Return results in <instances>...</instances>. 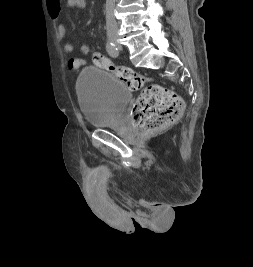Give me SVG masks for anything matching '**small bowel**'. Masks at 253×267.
I'll return each instance as SVG.
<instances>
[{"mask_svg":"<svg viewBox=\"0 0 253 267\" xmlns=\"http://www.w3.org/2000/svg\"><path fill=\"white\" fill-rule=\"evenodd\" d=\"M66 4L70 8L83 9L86 6V0H66ZM48 10L50 15L59 19L61 17L60 0H47ZM66 28L62 23H59L57 27V36L60 41L63 42V50L66 53H72L74 51V45L66 41Z\"/></svg>","mask_w":253,"mask_h":267,"instance_id":"small-bowel-1","label":"small bowel"}]
</instances>
